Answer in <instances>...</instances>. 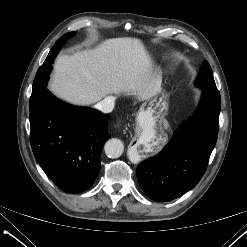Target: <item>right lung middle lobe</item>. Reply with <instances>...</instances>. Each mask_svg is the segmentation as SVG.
<instances>
[{"label":"right lung middle lobe","mask_w":247,"mask_h":247,"mask_svg":"<svg viewBox=\"0 0 247 247\" xmlns=\"http://www.w3.org/2000/svg\"><path fill=\"white\" fill-rule=\"evenodd\" d=\"M74 34L75 32H69L59 38L53 48L50 50L45 62L39 68L33 82V90L30 97V109H32L39 102L40 98L47 90L46 86L50 71L52 69V63L54 62V59L57 56L62 44L66 39L70 38Z\"/></svg>","instance_id":"1"}]
</instances>
